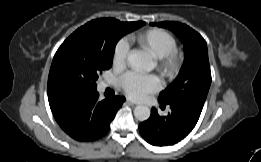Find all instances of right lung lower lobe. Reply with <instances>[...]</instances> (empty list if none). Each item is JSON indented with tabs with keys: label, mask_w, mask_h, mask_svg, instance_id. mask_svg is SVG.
Returning <instances> with one entry per match:
<instances>
[{
	"label": "right lung lower lobe",
	"mask_w": 261,
	"mask_h": 162,
	"mask_svg": "<svg viewBox=\"0 0 261 162\" xmlns=\"http://www.w3.org/2000/svg\"><path fill=\"white\" fill-rule=\"evenodd\" d=\"M98 96L95 92L78 100H68L52 110L60 127L73 139L88 142L105 136L125 101L121 96L99 101Z\"/></svg>",
	"instance_id": "obj_1"
}]
</instances>
